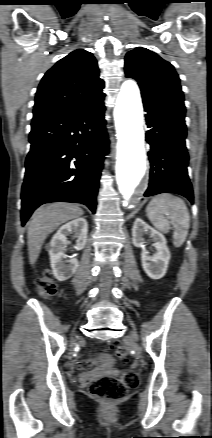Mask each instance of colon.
I'll return each instance as SVG.
<instances>
[{
	"label": "colon",
	"mask_w": 212,
	"mask_h": 438,
	"mask_svg": "<svg viewBox=\"0 0 212 438\" xmlns=\"http://www.w3.org/2000/svg\"><path fill=\"white\" fill-rule=\"evenodd\" d=\"M36 290L43 298L51 297L56 293L57 284L50 271H45L37 280ZM111 348L117 358L124 362L128 361V352L124 345L118 341H114L111 343ZM87 365L99 366L100 362H78V366L81 368ZM138 383V374L133 370H129L125 372L122 377L106 375L93 381L89 386V391L93 397L108 403L122 399L127 394L128 390L135 388Z\"/></svg>",
	"instance_id": "obj_1"
}]
</instances>
